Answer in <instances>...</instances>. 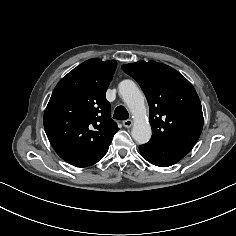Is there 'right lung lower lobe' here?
<instances>
[{
    "label": "right lung lower lobe",
    "instance_id": "1",
    "mask_svg": "<svg viewBox=\"0 0 236 236\" xmlns=\"http://www.w3.org/2000/svg\"><path fill=\"white\" fill-rule=\"evenodd\" d=\"M108 147L109 146H107L104 150L93 154H80V153H71L64 151H60L57 153L63 160H65L66 162H68L73 166L87 167L97 163L100 159H102L106 154Z\"/></svg>",
    "mask_w": 236,
    "mask_h": 236
}]
</instances>
